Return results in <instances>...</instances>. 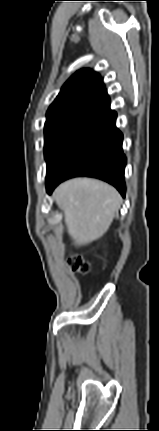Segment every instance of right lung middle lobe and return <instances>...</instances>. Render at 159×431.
<instances>
[{
  "instance_id": "obj_1",
  "label": "right lung middle lobe",
  "mask_w": 159,
  "mask_h": 431,
  "mask_svg": "<svg viewBox=\"0 0 159 431\" xmlns=\"http://www.w3.org/2000/svg\"><path fill=\"white\" fill-rule=\"evenodd\" d=\"M86 123L87 122L84 120L75 118H47L44 128V155L46 162L48 163L52 155L66 138Z\"/></svg>"
}]
</instances>
